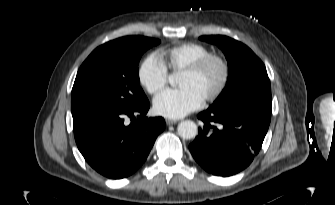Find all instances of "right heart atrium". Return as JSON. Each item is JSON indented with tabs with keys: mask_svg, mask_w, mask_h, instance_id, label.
Here are the masks:
<instances>
[{
	"mask_svg": "<svg viewBox=\"0 0 335 205\" xmlns=\"http://www.w3.org/2000/svg\"><path fill=\"white\" fill-rule=\"evenodd\" d=\"M138 79L150 94H156L164 88L168 80V69L159 55L152 53L142 61Z\"/></svg>",
	"mask_w": 335,
	"mask_h": 205,
	"instance_id": "d8ad5b80",
	"label": "right heart atrium"
}]
</instances>
